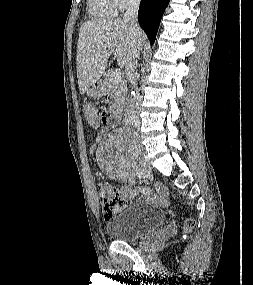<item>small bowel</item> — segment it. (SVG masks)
Returning a JSON list of instances; mask_svg holds the SVG:
<instances>
[{
    "mask_svg": "<svg viewBox=\"0 0 253 285\" xmlns=\"http://www.w3.org/2000/svg\"><path fill=\"white\" fill-rule=\"evenodd\" d=\"M109 114H110V109L100 110V114H99L100 126H110ZM103 135H104V132H101L100 137H102ZM95 147L96 145L94 144L92 148H95ZM106 186L111 187L109 185H106ZM118 190H120L124 195H126L130 199L137 197L139 194H143L140 200L141 202L146 203V204H153V205L163 207V206L168 205L169 203V197H168L167 190L160 183L155 184L156 191L154 193L150 191L148 188L137 189V188H130L129 186H122Z\"/></svg>",
    "mask_w": 253,
    "mask_h": 285,
    "instance_id": "1",
    "label": "small bowel"
}]
</instances>
